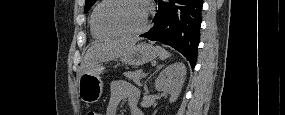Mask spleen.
Wrapping results in <instances>:
<instances>
[{
	"label": "spleen",
	"instance_id": "1",
	"mask_svg": "<svg viewBox=\"0 0 285 115\" xmlns=\"http://www.w3.org/2000/svg\"><path fill=\"white\" fill-rule=\"evenodd\" d=\"M159 53V57L161 60H166L167 58H169L171 56V54L166 51L164 48L157 46L156 47Z\"/></svg>",
	"mask_w": 285,
	"mask_h": 115
}]
</instances>
